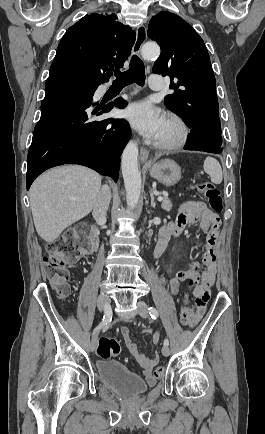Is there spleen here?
Segmentation results:
<instances>
[{
    "label": "spleen",
    "instance_id": "obj_1",
    "mask_svg": "<svg viewBox=\"0 0 265 434\" xmlns=\"http://www.w3.org/2000/svg\"><path fill=\"white\" fill-rule=\"evenodd\" d=\"M203 168L204 172H206V174H209L211 182H213V184H221L223 174L221 166L219 162L215 160V158H206Z\"/></svg>",
    "mask_w": 265,
    "mask_h": 434
}]
</instances>
